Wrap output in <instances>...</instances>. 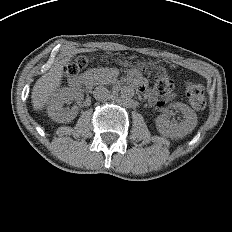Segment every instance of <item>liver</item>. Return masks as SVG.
I'll return each mask as SVG.
<instances>
[{
  "instance_id": "6515ba94",
  "label": "liver",
  "mask_w": 232,
  "mask_h": 232,
  "mask_svg": "<svg viewBox=\"0 0 232 232\" xmlns=\"http://www.w3.org/2000/svg\"><path fill=\"white\" fill-rule=\"evenodd\" d=\"M66 62L67 59H63L55 63L46 74L36 81L31 92L34 110H42L45 104L48 103L51 94L57 90L61 84L63 68Z\"/></svg>"
}]
</instances>
